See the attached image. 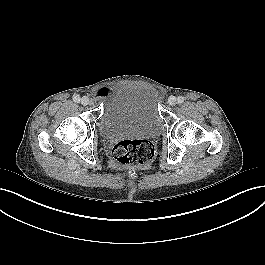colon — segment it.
Listing matches in <instances>:
<instances>
[{"label": "colon", "instance_id": "5ec220e1", "mask_svg": "<svg viewBox=\"0 0 265 265\" xmlns=\"http://www.w3.org/2000/svg\"><path fill=\"white\" fill-rule=\"evenodd\" d=\"M112 154L120 166L143 167L153 161L156 149L147 139H124L114 145Z\"/></svg>", "mask_w": 265, "mask_h": 265}]
</instances>
